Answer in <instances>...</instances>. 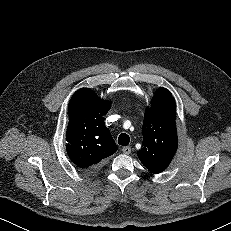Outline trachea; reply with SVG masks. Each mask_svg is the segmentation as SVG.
<instances>
[{"mask_svg": "<svg viewBox=\"0 0 231 231\" xmlns=\"http://www.w3.org/2000/svg\"><path fill=\"white\" fill-rule=\"evenodd\" d=\"M130 142V137L126 133H122L118 137V144L122 146H127Z\"/></svg>", "mask_w": 231, "mask_h": 231, "instance_id": "1", "label": "trachea"}]
</instances>
